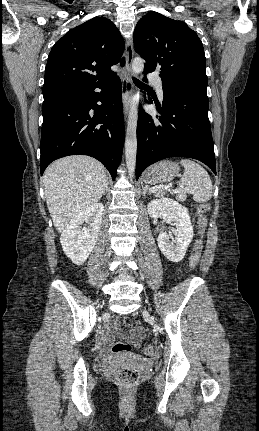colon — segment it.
<instances>
[{"mask_svg": "<svg viewBox=\"0 0 259 431\" xmlns=\"http://www.w3.org/2000/svg\"><path fill=\"white\" fill-rule=\"evenodd\" d=\"M211 206L209 203L200 204L197 208V227H198V239L195 241V244L192 248L191 257H190V268L195 270L199 263L200 252L202 248V235L207 226V214L209 213ZM131 350V346L126 343H115L112 346V351L114 353H124L129 352ZM143 354L152 358L155 355L154 347L147 345L142 349ZM113 376L121 385L125 387H131L137 383L139 380L140 374L138 370L127 368V367H117L113 371Z\"/></svg>", "mask_w": 259, "mask_h": 431, "instance_id": "1", "label": "colon"}]
</instances>
